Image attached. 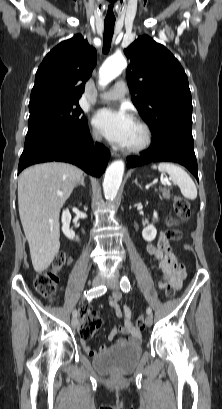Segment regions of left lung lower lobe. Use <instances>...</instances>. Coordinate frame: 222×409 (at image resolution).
Here are the masks:
<instances>
[{
  "instance_id": "1",
  "label": "left lung lower lobe",
  "mask_w": 222,
  "mask_h": 409,
  "mask_svg": "<svg viewBox=\"0 0 222 409\" xmlns=\"http://www.w3.org/2000/svg\"><path fill=\"white\" fill-rule=\"evenodd\" d=\"M159 161L182 164L198 180V166L191 130L167 127L153 134V142L147 151L140 156L127 157V168Z\"/></svg>"
}]
</instances>
